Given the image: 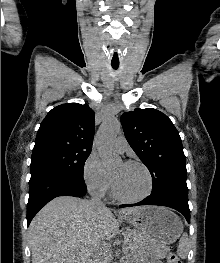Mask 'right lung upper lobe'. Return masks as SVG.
<instances>
[{
    "mask_svg": "<svg viewBox=\"0 0 220 263\" xmlns=\"http://www.w3.org/2000/svg\"><path fill=\"white\" fill-rule=\"evenodd\" d=\"M93 135V110L87 104H62L53 108L42 121L33 152L49 148L91 150Z\"/></svg>",
    "mask_w": 220,
    "mask_h": 263,
    "instance_id": "1",
    "label": "right lung upper lobe"
}]
</instances>
